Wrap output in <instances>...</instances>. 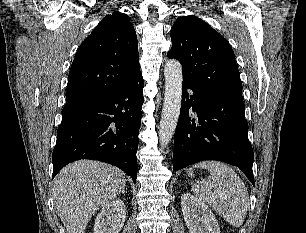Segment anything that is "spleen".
<instances>
[{
    "label": "spleen",
    "mask_w": 306,
    "mask_h": 233,
    "mask_svg": "<svg viewBox=\"0 0 306 233\" xmlns=\"http://www.w3.org/2000/svg\"><path fill=\"white\" fill-rule=\"evenodd\" d=\"M193 167L210 172L207 179L191 182L196 197L209 204L233 227L242 226L249 206L248 191L243 180L222 162L203 161Z\"/></svg>",
    "instance_id": "1"
}]
</instances>
